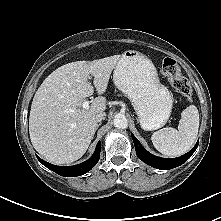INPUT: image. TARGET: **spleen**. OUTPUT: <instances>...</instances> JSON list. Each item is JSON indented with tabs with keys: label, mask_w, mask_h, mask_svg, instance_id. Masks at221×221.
Returning <instances> with one entry per match:
<instances>
[{
	"label": "spleen",
	"mask_w": 221,
	"mask_h": 221,
	"mask_svg": "<svg viewBox=\"0 0 221 221\" xmlns=\"http://www.w3.org/2000/svg\"><path fill=\"white\" fill-rule=\"evenodd\" d=\"M199 112L190 105L181 113L178 130L172 127L160 129L152 134L154 147L163 155L178 156L187 152L198 135Z\"/></svg>",
	"instance_id": "obj_1"
}]
</instances>
